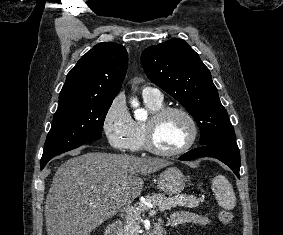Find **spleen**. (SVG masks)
I'll use <instances>...</instances> for the list:
<instances>
[{
	"label": "spleen",
	"instance_id": "3e777b00",
	"mask_svg": "<svg viewBox=\"0 0 283 235\" xmlns=\"http://www.w3.org/2000/svg\"><path fill=\"white\" fill-rule=\"evenodd\" d=\"M212 191L218 205L226 210H233L236 206V196L232 185L223 175H217L212 180Z\"/></svg>",
	"mask_w": 283,
	"mask_h": 235
}]
</instances>
